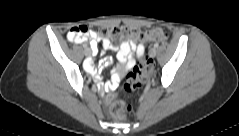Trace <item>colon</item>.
Returning a JSON list of instances; mask_svg holds the SVG:
<instances>
[{"label": "colon", "instance_id": "1", "mask_svg": "<svg viewBox=\"0 0 239 136\" xmlns=\"http://www.w3.org/2000/svg\"><path fill=\"white\" fill-rule=\"evenodd\" d=\"M91 30L86 25L74 27L69 32L72 40H79L88 37ZM97 35L109 40L112 45H116L122 38H130L131 40L141 41H163L166 34L160 28H152L149 30H141L127 26H115L111 28H100ZM153 68V62L145 57H140L139 61L127 73L124 81V90L127 92L135 91L140 88L146 81L148 74ZM131 111V107L126 105L122 100L115 99L110 105V114L115 120H123L127 113Z\"/></svg>", "mask_w": 239, "mask_h": 136}]
</instances>
